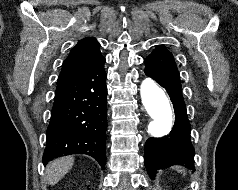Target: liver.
<instances>
[{
	"label": "liver",
	"mask_w": 238,
	"mask_h": 190,
	"mask_svg": "<svg viewBox=\"0 0 238 190\" xmlns=\"http://www.w3.org/2000/svg\"><path fill=\"white\" fill-rule=\"evenodd\" d=\"M74 164L73 157L58 158L49 163L46 174L49 185L58 183L72 168Z\"/></svg>",
	"instance_id": "obj_1"
}]
</instances>
